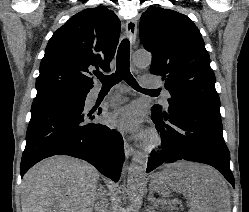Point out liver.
<instances>
[{
  "label": "liver",
  "mask_w": 249,
  "mask_h": 212,
  "mask_svg": "<svg viewBox=\"0 0 249 212\" xmlns=\"http://www.w3.org/2000/svg\"><path fill=\"white\" fill-rule=\"evenodd\" d=\"M99 172L70 156H53L28 170L22 182V212H93ZM150 188L169 198L170 190L190 202L189 212H231L228 186L221 174L194 162L168 164L152 174Z\"/></svg>",
  "instance_id": "obj_1"
}]
</instances>
